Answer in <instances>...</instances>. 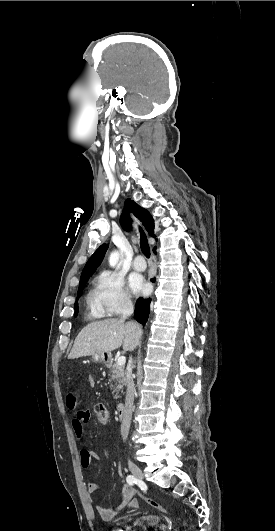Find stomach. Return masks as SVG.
I'll return each mask as SVG.
<instances>
[{
	"label": "stomach",
	"mask_w": 275,
	"mask_h": 531,
	"mask_svg": "<svg viewBox=\"0 0 275 531\" xmlns=\"http://www.w3.org/2000/svg\"><path fill=\"white\" fill-rule=\"evenodd\" d=\"M91 361L92 363H103V365H110V363H112V355L110 351H106V353H95V355H92Z\"/></svg>",
	"instance_id": "obj_1"
}]
</instances>
